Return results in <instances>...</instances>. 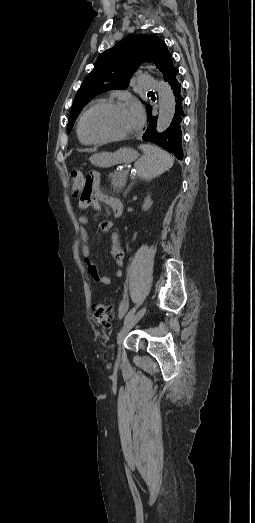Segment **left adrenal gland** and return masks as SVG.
<instances>
[{
    "instance_id": "obj_1",
    "label": "left adrenal gland",
    "mask_w": 255,
    "mask_h": 523,
    "mask_svg": "<svg viewBox=\"0 0 255 523\" xmlns=\"http://www.w3.org/2000/svg\"><path fill=\"white\" fill-rule=\"evenodd\" d=\"M132 184H134V180H133ZM132 184H130L129 188H127V190L124 194L125 198H126V194H128V192H130V188H132Z\"/></svg>"
}]
</instances>
